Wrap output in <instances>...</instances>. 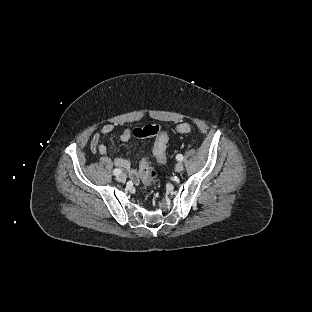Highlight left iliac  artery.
<instances>
[{"label":"left iliac artery","instance_id":"left-iliac-artery-1","mask_svg":"<svg viewBox=\"0 0 312 312\" xmlns=\"http://www.w3.org/2000/svg\"><path fill=\"white\" fill-rule=\"evenodd\" d=\"M176 159H177L178 161H182V160H183V156H182L181 154H178V155L176 156Z\"/></svg>","mask_w":312,"mask_h":312}]
</instances>
